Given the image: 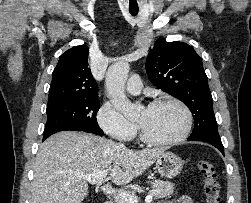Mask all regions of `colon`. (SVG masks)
I'll list each match as a JSON object with an SVG mask.
<instances>
[{"label":"colon","instance_id":"obj_1","mask_svg":"<svg viewBox=\"0 0 251 203\" xmlns=\"http://www.w3.org/2000/svg\"><path fill=\"white\" fill-rule=\"evenodd\" d=\"M198 169L203 175L205 203H220V186L214 165L210 161L200 160Z\"/></svg>","mask_w":251,"mask_h":203}]
</instances>
